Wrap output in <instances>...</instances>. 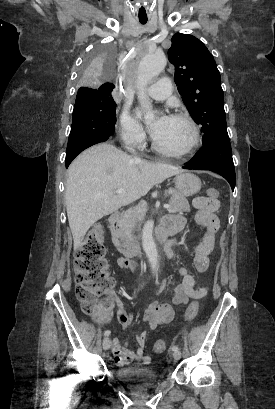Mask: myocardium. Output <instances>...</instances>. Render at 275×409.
Segmentation results:
<instances>
[{
    "instance_id": "obj_1",
    "label": "myocardium",
    "mask_w": 275,
    "mask_h": 409,
    "mask_svg": "<svg viewBox=\"0 0 275 409\" xmlns=\"http://www.w3.org/2000/svg\"><path fill=\"white\" fill-rule=\"evenodd\" d=\"M168 118L185 122L190 129V133H191L190 139L188 143L181 149H167V148L160 146L155 141L152 135L151 145H152L153 150L159 154L166 155V156H173V157L184 156L190 153L199 142V130H198V127L195 121L190 116L186 114H181V113L170 114Z\"/></svg>"
}]
</instances>
